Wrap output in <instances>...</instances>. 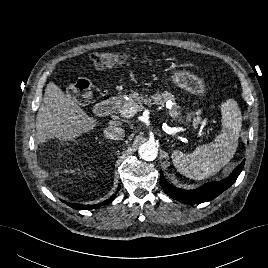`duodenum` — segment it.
<instances>
[{
    "mask_svg": "<svg viewBox=\"0 0 268 268\" xmlns=\"http://www.w3.org/2000/svg\"><path fill=\"white\" fill-rule=\"evenodd\" d=\"M120 102L116 97H109L103 102L96 105V112L100 116L111 115L119 106Z\"/></svg>",
    "mask_w": 268,
    "mask_h": 268,
    "instance_id": "1",
    "label": "duodenum"
}]
</instances>
